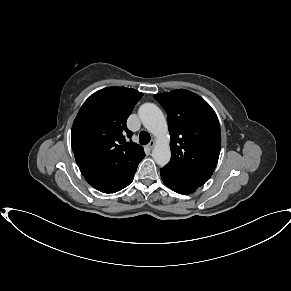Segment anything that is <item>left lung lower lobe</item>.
Listing matches in <instances>:
<instances>
[{
  "label": "left lung lower lobe",
  "instance_id": "0a47b994",
  "mask_svg": "<svg viewBox=\"0 0 291 291\" xmlns=\"http://www.w3.org/2000/svg\"><path fill=\"white\" fill-rule=\"evenodd\" d=\"M161 178L163 182L171 188L173 191L180 193V194H190L196 191L199 185L190 182L184 178H181L171 171L161 168L160 169Z\"/></svg>",
  "mask_w": 291,
  "mask_h": 291
}]
</instances>
